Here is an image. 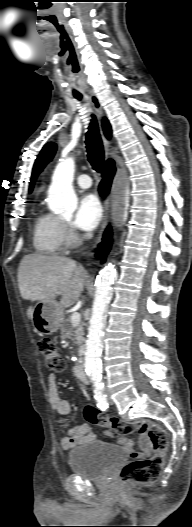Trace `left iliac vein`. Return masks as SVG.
Here are the masks:
<instances>
[{"instance_id": "1", "label": "left iliac vein", "mask_w": 192, "mask_h": 527, "mask_svg": "<svg viewBox=\"0 0 192 527\" xmlns=\"http://www.w3.org/2000/svg\"><path fill=\"white\" fill-rule=\"evenodd\" d=\"M106 393H107V396H108V402H109L110 404H112V403H113V401H112V400H111V398L109 397V394H108V392H106Z\"/></svg>"}]
</instances>
